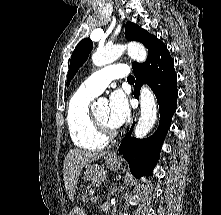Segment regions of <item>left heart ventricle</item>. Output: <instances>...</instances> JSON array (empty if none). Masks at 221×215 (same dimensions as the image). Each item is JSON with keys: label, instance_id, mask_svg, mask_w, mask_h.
<instances>
[{"label": "left heart ventricle", "instance_id": "obj_1", "mask_svg": "<svg viewBox=\"0 0 221 215\" xmlns=\"http://www.w3.org/2000/svg\"><path fill=\"white\" fill-rule=\"evenodd\" d=\"M95 114L100 121L109 125V123H108V107L107 106H103V107L99 108L98 110H96Z\"/></svg>", "mask_w": 221, "mask_h": 215}]
</instances>
